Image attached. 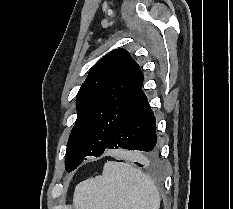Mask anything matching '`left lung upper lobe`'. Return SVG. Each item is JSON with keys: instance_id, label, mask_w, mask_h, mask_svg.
<instances>
[{"instance_id": "left-lung-upper-lobe-1", "label": "left lung upper lobe", "mask_w": 233, "mask_h": 209, "mask_svg": "<svg viewBox=\"0 0 233 209\" xmlns=\"http://www.w3.org/2000/svg\"><path fill=\"white\" fill-rule=\"evenodd\" d=\"M144 76L125 49H116L90 70L76 100L77 119L65 158L68 172L87 156H101L112 130L135 100Z\"/></svg>"}]
</instances>
